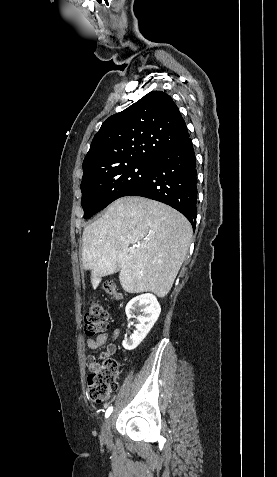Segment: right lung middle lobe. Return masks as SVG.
Here are the masks:
<instances>
[{
    "label": "right lung middle lobe",
    "instance_id": "obj_1",
    "mask_svg": "<svg viewBox=\"0 0 277 477\" xmlns=\"http://www.w3.org/2000/svg\"><path fill=\"white\" fill-rule=\"evenodd\" d=\"M153 162H130L107 169L83 171L81 182L84 218L125 196L150 172Z\"/></svg>",
    "mask_w": 277,
    "mask_h": 477
}]
</instances>
